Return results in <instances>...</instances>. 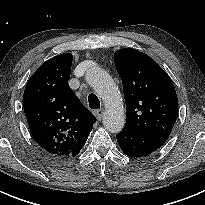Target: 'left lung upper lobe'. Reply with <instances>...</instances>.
<instances>
[{
  "label": "left lung upper lobe",
  "instance_id": "obj_1",
  "mask_svg": "<svg viewBox=\"0 0 205 205\" xmlns=\"http://www.w3.org/2000/svg\"><path fill=\"white\" fill-rule=\"evenodd\" d=\"M127 108L124 128L166 141L178 115L172 80L148 55L124 48L114 54Z\"/></svg>",
  "mask_w": 205,
  "mask_h": 205
}]
</instances>
